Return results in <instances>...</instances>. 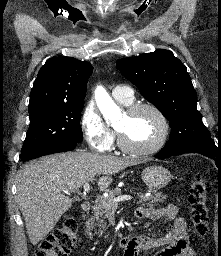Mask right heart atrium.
I'll return each instance as SVG.
<instances>
[{
    "instance_id": "d8ad5b80",
    "label": "right heart atrium",
    "mask_w": 221,
    "mask_h": 256,
    "mask_svg": "<svg viewBox=\"0 0 221 256\" xmlns=\"http://www.w3.org/2000/svg\"><path fill=\"white\" fill-rule=\"evenodd\" d=\"M80 126L85 140L91 147L100 151L110 149L115 134L106 125L96 105L91 101L82 110Z\"/></svg>"
}]
</instances>
